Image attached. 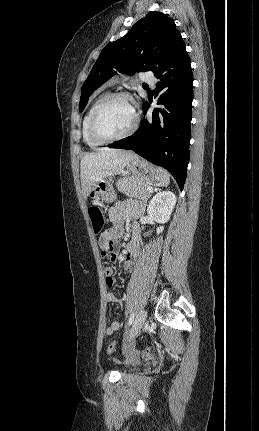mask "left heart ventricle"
Masks as SVG:
<instances>
[{"instance_id": "obj_1", "label": "left heart ventricle", "mask_w": 259, "mask_h": 431, "mask_svg": "<svg viewBox=\"0 0 259 431\" xmlns=\"http://www.w3.org/2000/svg\"><path fill=\"white\" fill-rule=\"evenodd\" d=\"M134 111L126 99H116L109 103L98 120V131L103 136L111 137L126 132L133 124Z\"/></svg>"}]
</instances>
